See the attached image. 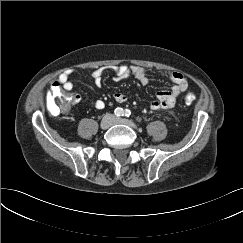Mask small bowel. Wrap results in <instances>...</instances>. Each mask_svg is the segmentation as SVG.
<instances>
[{
  "label": "small bowel",
  "mask_w": 243,
  "mask_h": 243,
  "mask_svg": "<svg viewBox=\"0 0 243 243\" xmlns=\"http://www.w3.org/2000/svg\"><path fill=\"white\" fill-rule=\"evenodd\" d=\"M114 74V80L120 81L128 77H134L141 84L146 85L150 82V71L139 66H127L118 65L109 68ZM104 68H99L94 70L90 76L93 79L96 86H100L103 81ZM70 72H64L58 78L57 83H59L65 90L70 91L73 88V84L70 81ZM162 75L173 83L170 90L159 91L156 94V100L152 101L150 108L152 110H168L174 107L178 96L185 92L188 88L187 78L179 72L176 71H165ZM73 104H77L81 100L79 94L72 95ZM128 97L126 94L117 92L114 94V100L118 103H123L127 101ZM92 106L96 109H103L105 107V102L101 99H97L92 102Z\"/></svg>",
  "instance_id": "small-bowel-1"
}]
</instances>
